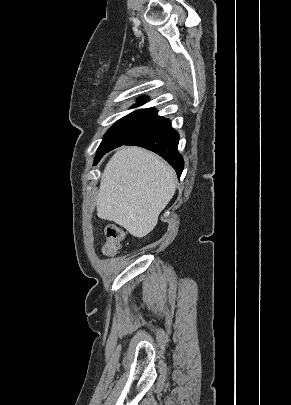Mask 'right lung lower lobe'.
<instances>
[{"mask_svg": "<svg viewBox=\"0 0 291 405\" xmlns=\"http://www.w3.org/2000/svg\"><path fill=\"white\" fill-rule=\"evenodd\" d=\"M178 140V132L171 128L168 119L163 118L123 145H136L157 153L172 165L180 177L184 168V160L177 150Z\"/></svg>", "mask_w": 291, "mask_h": 405, "instance_id": "obj_1", "label": "right lung lower lobe"}]
</instances>
